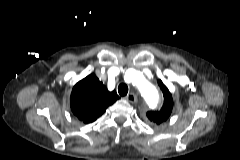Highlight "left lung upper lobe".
Segmentation results:
<instances>
[{"mask_svg": "<svg viewBox=\"0 0 240 160\" xmlns=\"http://www.w3.org/2000/svg\"><path fill=\"white\" fill-rule=\"evenodd\" d=\"M158 84L164 95V104L160 110L147 112L148 119L157 125L165 122L169 118L173 108V99L168 88L161 80L158 81Z\"/></svg>", "mask_w": 240, "mask_h": 160, "instance_id": "obj_1", "label": "left lung upper lobe"}]
</instances>
